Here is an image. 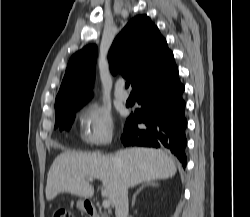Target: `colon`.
I'll use <instances>...</instances> for the list:
<instances>
[{"mask_svg":"<svg viewBox=\"0 0 250 217\" xmlns=\"http://www.w3.org/2000/svg\"><path fill=\"white\" fill-rule=\"evenodd\" d=\"M53 217H74V214L70 210L60 207L54 211Z\"/></svg>","mask_w":250,"mask_h":217,"instance_id":"5ec220e1","label":"colon"}]
</instances>
